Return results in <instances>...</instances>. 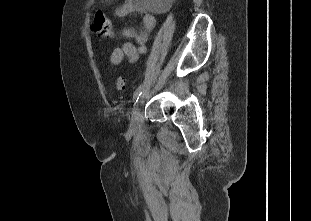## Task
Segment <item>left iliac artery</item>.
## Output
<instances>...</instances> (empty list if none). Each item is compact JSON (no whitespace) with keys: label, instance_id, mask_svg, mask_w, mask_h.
I'll return each mask as SVG.
<instances>
[{"label":"left iliac artery","instance_id":"1","mask_svg":"<svg viewBox=\"0 0 311 221\" xmlns=\"http://www.w3.org/2000/svg\"><path fill=\"white\" fill-rule=\"evenodd\" d=\"M143 85L141 84L133 94V102L136 103L142 94Z\"/></svg>","mask_w":311,"mask_h":221}]
</instances>
